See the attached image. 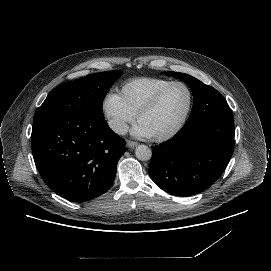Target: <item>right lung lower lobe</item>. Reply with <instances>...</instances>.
Listing matches in <instances>:
<instances>
[{
	"instance_id": "right-lung-lower-lobe-1",
	"label": "right lung lower lobe",
	"mask_w": 271,
	"mask_h": 271,
	"mask_svg": "<svg viewBox=\"0 0 271 271\" xmlns=\"http://www.w3.org/2000/svg\"><path fill=\"white\" fill-rule=\"evenodd\" d=\"M32 153L44 182L77 202L109 190L125 141L97 116L51 115L33 123Z\"/></svg>"
}]
</instances>
